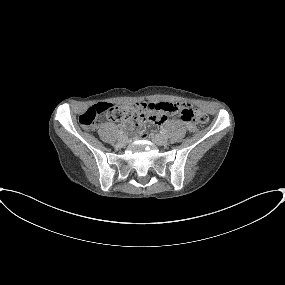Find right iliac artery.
Wrapping results in <instances>:
<instances>
[{"instance_id": "right-iliac-artery-1", "label": "right iliac artery", "mask_w": 285, "mask_h": 285, "mask_svg": "<svg viewBox=\"0 0 285 285\" xmlns=\"http://www.w3.org/2000/svg\"><path fill=\"white\" fill-rule=\"evenodd\" d=\"M118 134H119L120 136H122V135L124 134V131L121 129V130H119Z\"/></svg>"}]
</instances>
